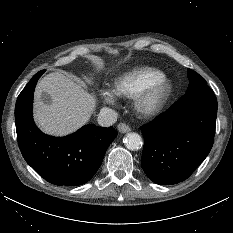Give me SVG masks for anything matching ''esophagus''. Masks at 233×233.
<instances>
[{"instance_id": "34e87169", "label": "esophagus", "mask_w": 233, "mask_h": 233, "mask_svg": "<svg viewBox=\"0 0 233 233\" xmlns=\"http://www.w3.org/2000/svg\"><path fill=\"white\" fill-rule=\"evenodd\" d=\"M117 129L121 133H127L131 130V128L125 123H119Z\"/></svg>"}]
</instances>
